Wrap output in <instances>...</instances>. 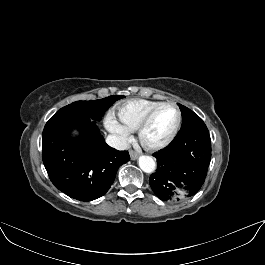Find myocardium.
Returning <instances> with one entry per match:
<instances>
[{
  "label": "myocardium",
  "mask_w": 265,
  "mask_h": 265,
  "mask_svg": "<svg viewBox=\"0 0 265 265\" xmlns=\"http://www.w3.org/2000/svg\"><path fill=\"white\" fill-rule=\"evenodd\" d=\"M164 106H172L176 110V113H177L176 123H175L173 129L171 130V132L167 135V137L164 140H162L159 143H155V144L148 143L144 140V137H143L144 132L147 129L148 125L150 124V122H151L152 118L154 117V115L156 114V112ZM181 122H182V113H181L179 107L177 106V104H175L174 102H171V101L160 102L159 104H157L156 106L151 108L145 114V116L142 118V120L140 121V123L136 129L138 142L146 150H149V151L161 150V149L167 147L173 141V139L176 137V135L180 129Z\"/></svg>",
  "instance_id": "obj_1"
}]
</instances>
